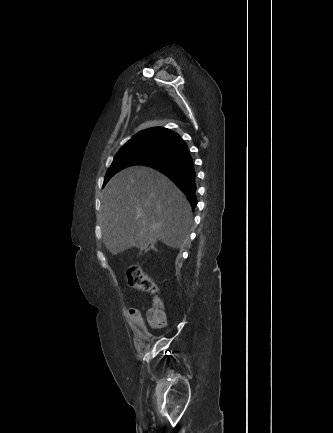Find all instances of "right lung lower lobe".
Masks as SVG:
<instances>
[{
    "label": "right lung lower lobe",
    "mask_w": 333,
    "mask_h": 433,
    "mask_svg": "<svg viewBox=\"0 0 333 433\" xmlns=\"http://www.w3.org/2000/svg\"><path fill=\"white\" fill-rule=\"evenodd\" d=\"M165 147L171 149L167 156L144 165L156 168L168 176L187 195L194 208L197 203L196 172L188 147L181 138L172 140Z\"/></svg>",
    "instance_id": "1"
}]
</instances>
